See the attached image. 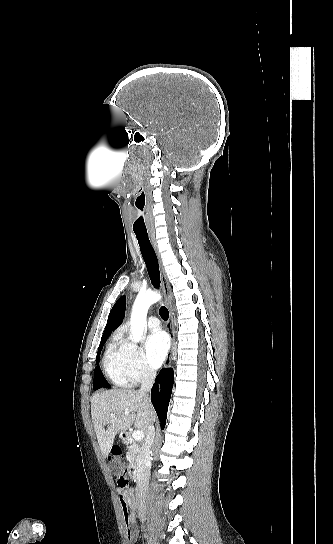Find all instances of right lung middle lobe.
<instances>
[{
    "label": "right lung middle lobe",
    "mask_w": 333,
    "mask_h": 544,
    "mask_svg": "<svg viewBox=\"0 0 333 544\" xmlns=\"http://www.w3.org/2000/svg\"><path fill=\"white\" fill-rule=\"evenodd\" d=\"M106 339L107 338L101 339V342H100V345H99V348H98L97 357H96V364L97 365L99 363L100 353H101V350L103 348V345H104ZM102 387H108L109 388L110 385L105 380L99 366H97L95 368V370H94V390H97V389L102 388Z\"/></svg>",
    "instance_id": "1"
}]
</instances>
